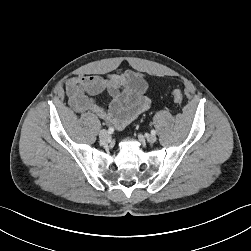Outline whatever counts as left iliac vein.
Instances as JSON below:
<instances>
[{
	"label": "left iliac vein",
	"mask_w": 251,
	"mask_h": 251,
	"mask_svg": "<svg viewBox=\"0 0 251 251\" xmlns=\"http://www.w3.org/2000/svg\"><path fill=\"white\" fill-rule=\"evenodd\" d=\"M146 140H147L148 143L153 144V143L156 142L157 138H156L155 135L150 134V135H148V136L146 137Z\"/></svg>",
	"instance_id": "1"
}]
</instances>
